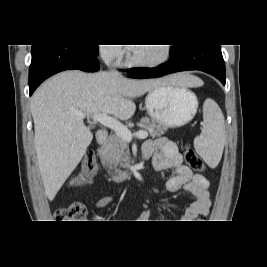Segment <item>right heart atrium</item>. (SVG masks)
<instances>
[{"mask_svg": "<svg viewBox=\"0 0 267 267\" xmlns=\"http://www.w3.org/2000/svg\"><path fill=\"white\" fill-rule=\"evenodd\" d=\"M123 48L121 46H110V45H103L100 46V54L103 59L117 62L123 56Z\"/></svg>", "mask_w": 267, "mask_h": 267, "instance_id": "1", "label": "right heart atrium"}]
</instances>
